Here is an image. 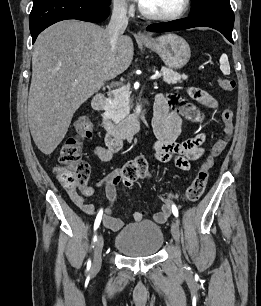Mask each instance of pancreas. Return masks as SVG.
<instances>
[{"mask_svg":"<svg viewBox=\"0 0 261 306\" xmlns=\"http://www.w3.org/2000/svg\"><path fill=\"white\" fill-rule=\"evenodd\" d=\"M161 76L168 84L181 83L187 75L179 74L172 69L162 68ZM107 116L115 123L120 122L129 114V91L126 87L116 89L106 99Z\"/></svg>","mask_w":261,"mask_h":306,"instance_id":"1","label":"pancreas"}]
</instances>
